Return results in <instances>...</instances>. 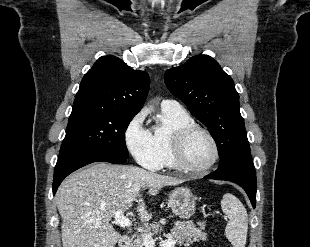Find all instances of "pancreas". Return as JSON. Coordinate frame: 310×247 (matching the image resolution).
Segmentation results:
<instances>
[{"instance_id": "pancreas-1", "label": "pancreas", "mask_w": 310, "mask_h": 247, "mask_svg": "<svg viewBox=\"0 0 310 247\" xmlns=\"http://www.w3.org/2000/svg\"><path fill=\"white\" fill-rule=\"evenodd\" d=\"M162 231L159 223L150 224L141 234L133 241L132 247H144L143 235H155ZM168 237L174 239L179 246H190L194 242L206 240V233L195 227L193 222H176L171 229Z\"/></svg>"}]
</instances>
